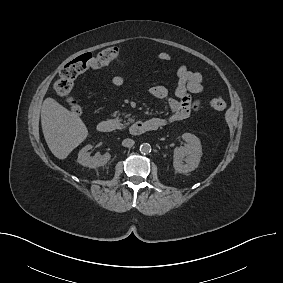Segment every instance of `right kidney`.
<instances>
[{"instance_id": "ca27d5eb", "label": "right kidney", "mask_w": 283, "mask_h": 283, "mask_svg": "<svg viewBox=\"0 0 283 283\" xmlns=\"http://www.w3.org/2000/svg\"><path fill=\"white\" fill-rule=\"evenodd\" d=\"M91 148V145H87L82 148L78 154V163L82 166L89 168H98L104 166L110 160L111 155L106 153L104 155L96 154L95 156H90L88 150Z\"/></svg>"}]
</instances>
